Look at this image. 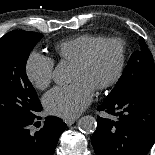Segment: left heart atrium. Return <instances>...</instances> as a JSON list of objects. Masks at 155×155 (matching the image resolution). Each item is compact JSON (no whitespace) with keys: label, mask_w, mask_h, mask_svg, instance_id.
<instances>
[{"label":"left heart atrium","mask_w":155,"mask_h":155,"mask_svg":"<svg viewBox=\"0 0 155 155\" xmlns=\"http://www.w3.org/2000/svg\"><path fill=\"white\" fill-rule=\"evenodd\" d=\"M94 89L83 81L58 86L44 96L46 110L62 118H75L91 103Z\"/></svg>","instance_id":"left-heart-atrium-1"}]
</instances>
